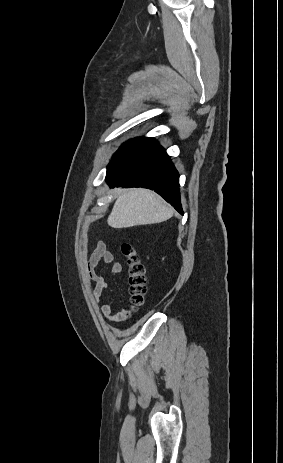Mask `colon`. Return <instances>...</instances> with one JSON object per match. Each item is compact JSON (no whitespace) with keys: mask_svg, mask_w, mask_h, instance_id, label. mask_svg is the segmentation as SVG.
<instances>
[{"mask_svg":"<svg viewBox=\"0 0 283 463\" xmlns=\"http://www.w3.org/2000/svg\"><path fill=\"white\" fill-rule=\"evenodd\" d=\"M122 252L126 257L131 304L130 309L124 312V315L128 316L144 301V296L147 291L148 273L144 263L141 261L132 245L123 243Z\"/></svg>","mask_w":283,"mask_h":463,"instance_id":"1","label":"colon"}]
</instances>
